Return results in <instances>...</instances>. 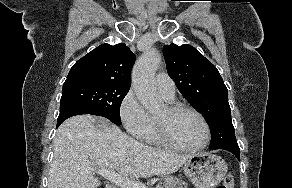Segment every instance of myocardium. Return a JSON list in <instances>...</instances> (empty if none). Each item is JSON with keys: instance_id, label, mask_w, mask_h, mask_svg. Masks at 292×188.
Wrapping results in <instances>:
<instances>
[{"instance_id": "1", "label": "myocardium", "mask_w": 292, "mask_h": 188, "mask_svg": "<svg viewBox=\"0 0 292 188\" xmlns=\"http://www.w3.org/2000/svg\"><path fill=\"white\" fill-rule=\"evenodd\" d=\"M166 108L170 115H176L181 112H191L194 115H196L201 120L204 126L205 137H204L203 142L197 146H194V147L183 146L179 144L171 136L167 123L156 118L155 123H156L157 133L163 144L173 149L184 151V152H197V151L203 150L209 144L210 139H211V128H210L208 120L200 111H198L197 109L191 106L178 104V103L170 104Z\"/></svg>"}]
</instances>
